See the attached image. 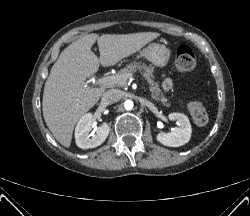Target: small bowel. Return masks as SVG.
Instances as JSON below:
<instances>
[{
  "mask_svg": "<svg viewBox=\"0 0 250 216\" xmlns=\"http://www.w3.org/2000/svg\"><path fill=\"white\" fill-rule=\"evenodd\" d=\"M171 87V82L168 79H165L164 83H163V88L165 90H168Z\"/></svg>",
  "mask_w": 250,
  "mask_h": 216,
  "instance_id": "small-bowel-1",
  "label": "small bowel"
}]
</instances>
